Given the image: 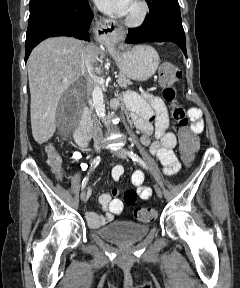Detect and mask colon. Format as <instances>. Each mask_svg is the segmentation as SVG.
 Listing matches in <instances>:
<instances>
[{
    "label": "colon",
    "instance_id": "obj_1",
    "mask_svg": "<svg viewBox=\"0 0 240 288\" xmlns=\"http://www.w3.org/2000/svg\"><path fill=\"white\" fill-rule=\"evenodd\" d=\"M179 77L180 73L174 65L169 63L161 65L159 78L163 88V97L171 103L172 116L179 125L181 156L183 161L189 164L194 158L198 142L195 133L188 126L185 110L176 103L177 91L174 84ZM47 164L54 174L57 176L62 175V158L53 147L47 148ZM123 199L127 205H133L137 199V194L134 190H126ZM134 215L140 221L151 222L155 220L157 213L150 208L137 207L134 210Z\"/></svg>",
    "mask_w": 240,
    "mask_h": 288
}]
</instances>
